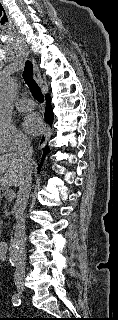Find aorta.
Masks as SVG:
<instances>
[{
  "label": "aorta",
  "instance_id": "1",
  "mask_svg": "<svg viewBox=\"0 0 118 320\" xmlns=\"http://www.w3.org/2000/svg\"><path fill=\"white\" fill-rule=\"evenodd\" d=\"M16 81L13 78L0 80V124L7 125L12 120V105L16 94ZM18 246L15 238L10 240L9 261L15 264Z\"/></svg>",
  "mask_w": 118,
  "mask_h": 320
}]
</instances>
